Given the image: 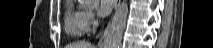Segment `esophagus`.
Returning a JSON list of instances; mask_svg holds the SVG:
<instances>
[{"instance_id":"obj_1","label":"esophagus","mask_w":213,"mask_h":48,"mask_svg":"<svg viewBox=\"0 0 213 48\" xmlns=\"http://www.w3.org/2000/svg\"><path fill=\"white\" fill-rule=\"evenodd\" d=\"M119 4H120V0H116L115 1V9L119 6ZM108 30H109V25L106 27V29H105V31H104V33H103V35H102V37H101V39H100V41L98 43L100 48H102L104 46V42H105Z\"/></svg>"}]
</instances>
